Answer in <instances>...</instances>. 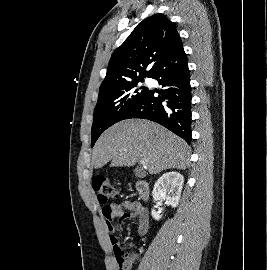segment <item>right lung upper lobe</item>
I'll return each instance as SVG.
<instances>
[{"label": "right lung upper lobe", "instance_id": "obj_1", "mask_svg": "<svg viewBox=\"0 0 267 270\" xmlns=\"http://www.w3.org/2000/svg\"><path fill=\"white\" fill-rule=\"evenodd\" d=\"M181 43L174 23L165 15L155 14L146 18L112 54L99 91L150 77L164 58ZM149 65L151 67L146 71Z\"/></svg>", "mask_w": 267, "mask_h": 270}]
</instances>
